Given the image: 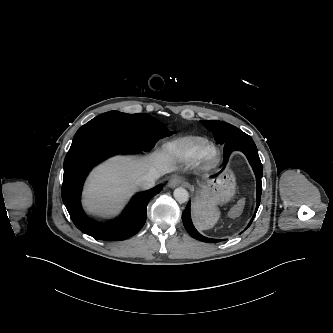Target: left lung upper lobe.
Listing matches in <instances>:
<instances>
[{
	"mask_svg": "<svg viewBox=\"0 0 333 333\" xmlns=\"http://www.w3.org/2000/svg\"><path fill=\"white\" fill-rule=\"evenodd\" d=\"M201 122L214 134V138L219 144H225L240 130L226 122L216 120H202Z\"/></svg>",
	"mask_w": 333,
	"mask_h": 333,
	"instance_id": "5c2ea615",
	"label": "left lung upper lobe"
}]
</instances>
